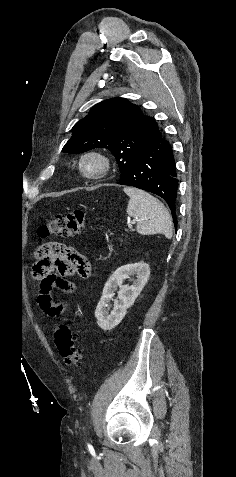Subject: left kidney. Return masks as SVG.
<instances>
[{"label":"left kidney","instance_id":"5707ae66","mask_svg":"<svg viewBox=\"0 0 236 477\" xmlns=\"http://www.w3.org/2000/svg\"><path fill=\"white\" fill-rule=\"evenodd\" d=\"M136 275L131 286L123 285L124 280ZM150 275L149 264L138 262L119 267L107 280L102 297L96 307L95 317L98 326L107 331L116 327L125 317L127 309L130 308L139 296ZM118 299L114 301L113 309L110 310V300L114 296L117 288ZM108 308V309H107Z\"/></svg>","mask_w":236,"mask_h":477}]
</instances>
